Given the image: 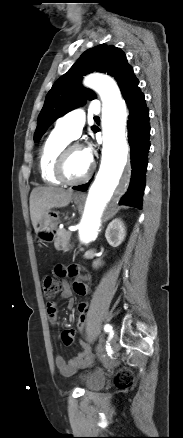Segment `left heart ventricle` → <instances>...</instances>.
Here are the masks:
<instances>
[{"instance_id":"obj_1","label":"left heart ventricle","mask_w":183,"mask_h":438,"mask_svg":"<svg viewBox=\"0 0 183 438\" xmlns=\"http://www.w3.org/2000/svg\"><path fill=\"white\" fill-rule=\"evenodd\" d=\"M89 165L90 161L86 157L84 150L75 149L67 158L65 175L70 180H78L86 174Z\"/></svg>"}]
</instances>
